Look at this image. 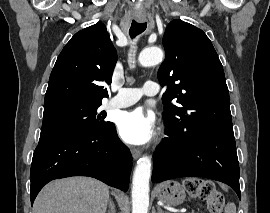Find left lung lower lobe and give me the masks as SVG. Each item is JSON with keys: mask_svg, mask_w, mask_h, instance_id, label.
<instances>
[{"mask_svg": "<svg viewBox=\"0 0 270 213\" xmlns=\"http://www.w3.org/2000/svg\"><path fill=\"white\" fill-rule=\"evenodd\" d=\"M154 154L152 182L205 177L228 184L240 196L239 163L233 131L193 129L182 137L170 130Z\"/></svg>", "mask_w": 270, "mask_h": 213, "instance_id": "0a47b994", "label": "left lung lower lobe"}]
</instances>
